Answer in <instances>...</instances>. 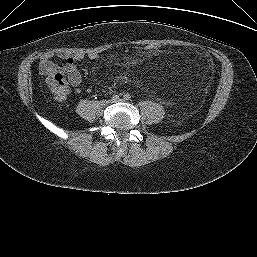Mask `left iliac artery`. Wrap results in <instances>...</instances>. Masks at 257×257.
Returning a JSON list of instances; mask_svg holds the SVG:
<instances>
[{"label":"left iliac artery","mask_w":257,"mask_h":257,"mask_svg":"<svg viewBox=\"0 0 257 257\" xmlns=\"http://www.w3.org/2000/svg\"><path fill=\"white\" fill-rule=\"evenodd\" d=\"M130 98H131L130 94L126 93V94L124 95V99H125V100H130Z\"/></svg>","instance_id":"obj_1"}]
</instances>
